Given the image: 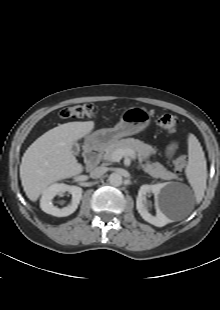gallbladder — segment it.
I'll use <instances>...</instances> for the list:
<instances>
[{
	"instance_id": "1",
	"label": "gallbladder",
	"mask_w": 220,
	"mask_h": 310,
	"mask_svg": "<svg viewBox=\"0 0 220 310\" xmlns=\"http://www.w3.org/2000/svg\"><path fill=\"white\" fill-rule=\"evenodd\" d=\"M72 153H73L74 155H79V153H80V147H79V145H78L77 143H74V144L72 145Z\"/></svg>"
}]
</instances>
